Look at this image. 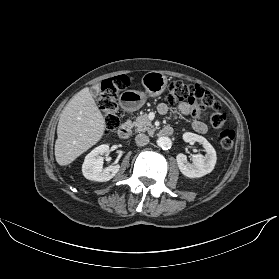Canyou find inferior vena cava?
Listing matches in <instances>:
<instances>
[{
    "label": "inferior vena cava",
    "instance_id": "602c4592",
    "mask_svg": "<svg viewBox=\"0 0 279 279\" xmlns=\"http://www.w3.org/2000/svg\"><path fill=\"white\" fill-rule=\"evenodd\" d=\"M135 142L138 146H145L149 143V137L143 133L136 135Z\"/></svg>",
    "mask_w": 279,
    "mask_h": 279
}]
</instances>
